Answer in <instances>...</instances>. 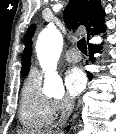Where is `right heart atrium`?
I'll return each mask as SVG.
<instances>
[{"label": "right heart atrium", "mask_w": 116, "mask_h": 134, "mask_svg": "<svg viewBox=\"0 0 116 134\" xmlns=\"http://www.w3.org/2000/svg\"><path fill=\"white\" fill-rule=\"evenodd\" d=\"M72 105V100L67 97L52 100L53 111L55 114L68 113L72 108Z\"/></svg>", "instance_id": "d8ad5b80"}]
</instances>
